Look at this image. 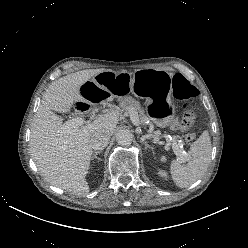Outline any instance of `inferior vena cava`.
I'll use <instances>...</instances> for the list:
<instances>
[{"mask_svg": "<svg viewBox=\"0 0 248 248\" xmlns=\"http://www.w3.org/2000/svg\"><path fill=\"white\" fill-rule=\"evenodd\" d=\"M111 137V133L108 130H100L95 132L90 138V146L93 150H103Z\"/></svg>", "mask_w": 248, "mask_h": 248, "instance_id": "obj_1", "label": "inferior vena cava"}]
</instances>
